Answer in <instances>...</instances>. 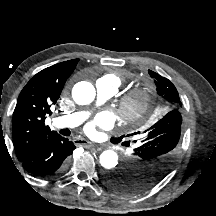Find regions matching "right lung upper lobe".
<instances>
[{"label":"right lung upper lobe","instance_id":"obj_1","mask_svg":"<svg viewBox=\"0 0 216 216\" xmlns=\"http://www.w3.org/2000/svg\"><path fill=\"white\" fill-rule=\"evenodd\" d=\"M78 61L68 60L43 69L31 78L19 94L12 130L14 149L20 161L57 134L45 125V115L52 113L50 107L58 100Z\"/></svg>","mask_w":216,"mask_h":216}]
</instances>
